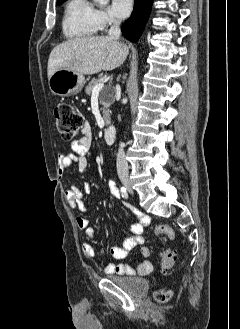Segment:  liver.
Segmentation results:
<instances>
[{"label":"liver","instance_id":"obj_1","mask_svg":"<svg viewBox=\"0 0 240 329\" xmlns=\"http://www.w3.org/2000/svg\"><path fill=\"white\" fill-rule=\"evenodd\" d=\"M127 56L126 47L106 36L70 39L53 48L47 67L48 79L59 69L92 75L119 67Z\"/></svg>","mask_w":240,"mask_h":329}]
</instances>
